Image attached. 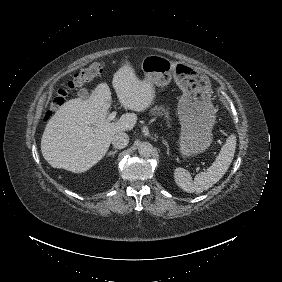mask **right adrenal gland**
Here are the masks:
<instances>
[{"label":"right adrenal gland","mask_w":282,"mask_h":282,"mask_svg":"<svg viewBox=\"0 0 282 282\" xmlns=\"http://www.w3.org/2000/svg\"><path fill=\"white\" fill-rule=\"evenodd\" d=\"M117 153V150H114V151H112V150H110L108 153H107V155H115Z\"/></svg>","instance_id":"right-adrenal-gland-1"}]
</instances>
